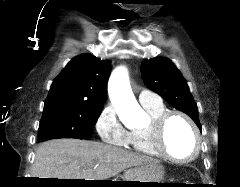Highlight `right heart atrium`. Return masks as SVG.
<instances>
[{
  "label": "right heart atrium",
  "instance_id": "1",
  "mask_svg": "<svg viewBox=\"0 0 240 187\" xmlns=\"http://www.w3.org/2000/svg\"><path fill=\"white\" fill-rule=\"evenodd\" d=\"M95 129L104 143L121 147L128 145L129 132L121 124L111 105L102 109L95 121Z\"/></svg>",
  "mask_w": 240,
  "mask_h": 187
}]
</instances>
